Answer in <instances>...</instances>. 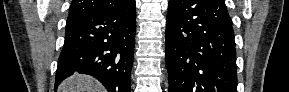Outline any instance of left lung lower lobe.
<instances>
[{"label": "left lung lower lobe", "instance_id": "left-lung-lower-lobe-1", "mask_svg": "<svg viewBox=\"0 0 289 92\" xmlns=\"http://www.w3.org/2000/svg\"><path fill=\"white\" fill-rule=\"evenodd\" d=\"M169 92H237L236 49L224 0H169Z\"/></svg>", "mask_w": 289, "mask_h": 92}]
</instances>
